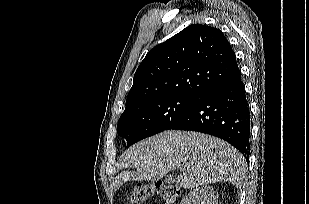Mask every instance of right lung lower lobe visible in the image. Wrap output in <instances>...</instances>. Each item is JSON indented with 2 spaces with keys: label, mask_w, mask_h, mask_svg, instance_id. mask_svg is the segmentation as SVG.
Segmentation results:
<instances>
[{
  "label": "right lung lower lobe",
  "mask_w": 309,
  "mask_h": 204,
  "mask_svg": "<svg viewBox=\"0 0 309 204\" xmlns=\"http://www.w3.org/2000/svg\"><path fill=\"white\" fill-rule=\"evenodd\" d=\"M198 131L219 137L246 158L250 155V111L240 72L228 82L215 86L166 130Z\"/></svg>",
  "instance_id": "obj_1"
}]
</instances>
